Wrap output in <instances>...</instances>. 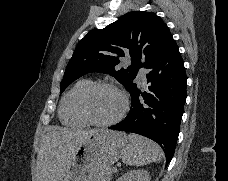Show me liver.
I'll list each match as a JSON object with an SVG mask.
<instances>
[{
  "label": "liver",
  "instance_id": "1",
  "mask_svg": "<svg viewBox=\"0 0 228 181\" xmlns=\"http://www.w3.org/2000/svg\"><path fill=\"white\" fill-rule=\"evenodd\" d=\"M95 131L103 129H51L42 139L37 155L38 181H62L70 169L76 149L88 141V137Z\"/></svg>",
  "mask_w": 228,
  "mask_h": 181
}]
</instances>
